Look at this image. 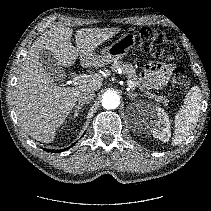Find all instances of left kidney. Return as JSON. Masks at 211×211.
Returning a JSON list of instances; mask_svg holds the SVG:
<instances>
[{"label":"left kidney","mask_w":211,"mask_h":211,"mask_svg":"<svg viewBox=\"0 0 211 211\" xmlns=\"http://www.w3.org/2000/svg\"><path fill=\"white\" fill-rule=\"evenodd\" d=\"M151 113L154 120L148 124V127L152 135L163 142L169 141L171 131L168 115L160 107H155Z\"/></svg>","instance_id":"left-kidney-1"}]
</instances>
